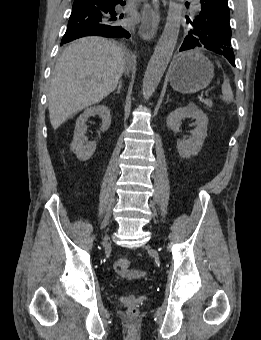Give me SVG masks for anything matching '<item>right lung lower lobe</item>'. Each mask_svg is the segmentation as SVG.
<instances>
[{
    "mask_svg": "<svg viewBox=\"0 0 261 340\" xmlns=\"http://www.w3.org/2000/svg\"><path fill=\"white\" fill-rule=\"evenodd\" d=\"M121 0H75L64 38L73 36L130 37L121 32L126 12ZM122 28H121V27Z\"/></svg>",
    "mask_w": 261,
    "mask_h": 340,
    "instance_id": "1",
    "label": "right lung lower lobe"
}]
</instances>
